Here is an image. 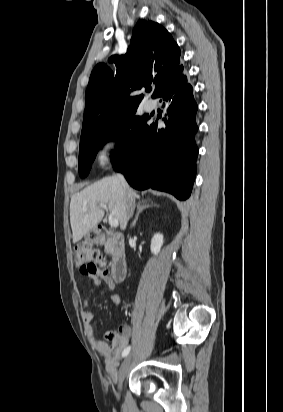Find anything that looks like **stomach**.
Instances as JSON below:
<instances>
[{
	"label": "stomach",
	"mask_w": 283,
	"mask_h": 412,
	"mask_svg": "<svg viewBox=\"0 0 283 412\" xmlns=\"http://www.w3.org/2000/svg\"><path fill=\"white\" fill-rule=\"evenodd\" d=\"M85 241H86L87 243H95V242H96V238H95V236H93V234H91V233L89 232V233H87V234L85 235Z\"/></svg>",
	"instance_id": "stomach-1"
}]
</instances>
